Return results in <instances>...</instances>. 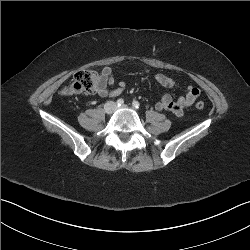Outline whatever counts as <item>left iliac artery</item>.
<instances>
[{
    "mask_svg": "<svg viewBox=\"0 0 250 250\" xmlns=\"http://www.w3.org/2000/svg\"><path fill=\"white\" fill-rule=\"evenodd\" d=\"M132 105L134 108H137V109L140 107V104L138 101H133Z\"/></svg>",
    "mask_w": 250,
    "mask_h": 250,
    "instance_id": "left-iliac-artery-1",
    "label": "left iliac artery"
}]
</instances>
